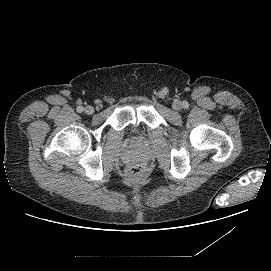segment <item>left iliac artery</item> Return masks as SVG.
Returning a JSON list of instances; mask_svg holds the SVG:
<instances>
[{
	"mask_svg": "<svg viewBox=\"0 0 271 271\" xmlns=\"http://www.w3.org/2000/svg\"><path fill=\"white\" fill-rule=\"evenodd\" d=\"M183 107L186 108L188 106L187 102H183Z\"/></svg>",
	"mask_w": 271,
	"mask_h": 271,
	"instance_id": "obj_1",
	"label": "left iliac artery"
}]
</instances>
